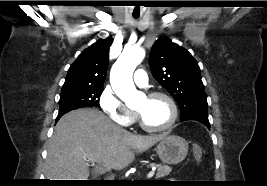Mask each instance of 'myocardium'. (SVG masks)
<instances>
[{
    "label": "myocardium",
    "instance_id": "1",
    "mask_svg": "<svg viewBox=\"0 0 267 186\" xmlns=\"http://www.w3.org/2000/svg\"><path fill=\"white\" fill-rule=\"evenodd\" d=\"M146 97L150 98V99L156 98V97H162V98L166 99L170 105V108H171V116H170L169 121L165 125H163L161 127H150L144 122L141 114L139 112L135 111L136 119L138 121L139 126L144 131L153 132V133L164 132V131L170 129L176 123V121L178 119V107H177L175 100L169 94L162 92V91L150 92L147 94Z\"/></svg>",
    "mask_w": 267,
    "mask_h": 186
}]
</instances>
